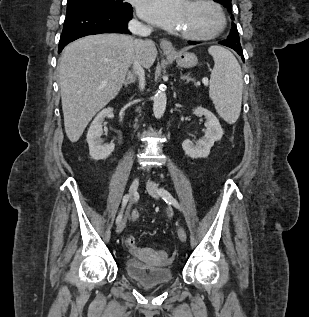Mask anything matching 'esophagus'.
Wrapping results in <instances>:
<instances>
[{"label": "esophagus", "mask_w": 309, "mask_h": 317, "mask_svg": "<svg viewBox=\"0 0 309 317\" xmlns=\"http://www.w3.org/2000/svg\"><path fill=\"white\" fill-rule=\"evenodd\" d=\"M160 47L165 53H172L174 50L172 43L167 39L160 41Z\"/></svg>", "instance_id": "1"}]
</instances>
